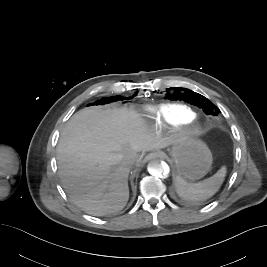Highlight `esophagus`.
<instances>
[{
	"instance_id": "34e87169",
	"label": "esophagus",
	"mask_w": 267,
	"mask_h": 267,
	"mask_svg": "<svg viewBox=\"0 0 267 267\" xmlns=\"http://www.w3.org/2000/svg\"><path fill=\"white\" fill-rule=\"evenodd\" d=\"M160 156H161V154H160L159 152L149 153V154L145 157L144 162H147V161H149V160H151V159H154V158H158V157H160Z\"/></svg>"
}]
</instances>
